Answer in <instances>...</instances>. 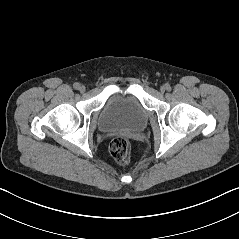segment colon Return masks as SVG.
<instances>
[{
  "instance_id": "colon-1",
  "label": "colon",
  "mask_w": 239,
  "mask_h": 239,
  "mask_svg": "<svg viewBox=\"0 0 239 239\" xmlns=\"http://www.w3.org/2000/svg\"><path fill=\"white\" fill-rule=\"evenodd\" d=\"M110 153L113 159L121 165L129 163L131 159V146L123 137L114 138L110 144Z\"/></svg>"
}]
</instances>
